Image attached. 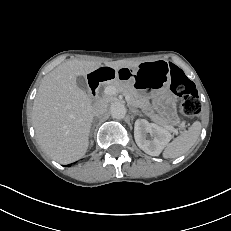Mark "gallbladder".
<instances>
[{
  "mask_svg": "<svg viewBox=\"0 0 231 231\" xmlns=\"http://www.w3.org/2000/svg\"><path fill=\"white\" fill-rule=\"evenodd\" d=\"M76 83L77 86L82 89L83 91H87L88 90V83L85 77L83 76H78L76 78Z\"/></svg>",
  "mask_w": 231,
  "mask_h": 231,
  "instance_id": "obj_1",
  "label": "gallbladder"
}]
</instances>
